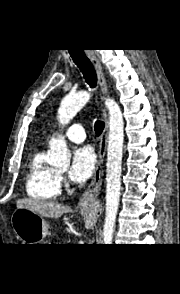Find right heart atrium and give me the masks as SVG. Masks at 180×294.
<instances>
[{
    "instance_id": "1",
    "label": "right heart atrium",
    "mask_w": 180,
    "mask_h": 294,
    "mask_svg": "<svg viewBox=\"0 0 180 294\" xmlns=\"http://www.w3.org/2000/svg\"><path fill=\"white\" fill-rule=\"evenodd\" d=\"M59 184L62 185L64 184V178L59 175Z\"/></svg>"
}]
</instances>
